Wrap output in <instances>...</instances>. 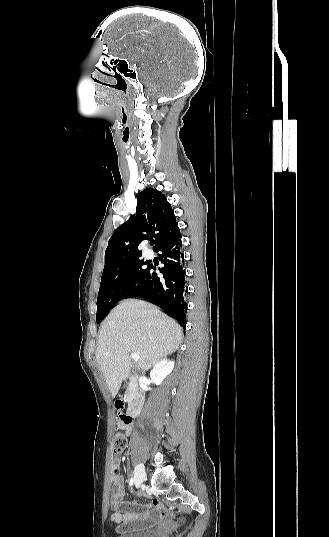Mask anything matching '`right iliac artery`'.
<instances>
[{
	"instance_id": "right-iliac-artery-1",
	"label": "right iliac artery",
	"mask_w": 329,
	"mask_h": 537,
	"mask_svg": "<svg viewBox=\"0 0 329 537\" xmlns=\"http://www.w3.org/2000/svg\"><path fill=\"white\" fill-rule=\"evenodd\" d=\"M133 483H134V480H133V478H131L130 481H129V486L131 487L133 485Z\"/></svg>"
}]
</instances>
